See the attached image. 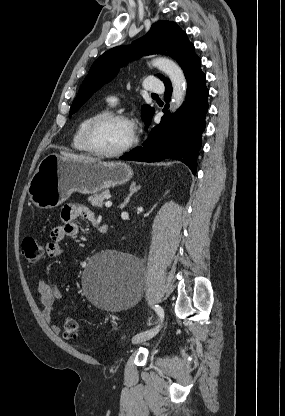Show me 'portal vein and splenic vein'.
<instances>
[{
  "mask_svg": "<svg viewBox=\"0 0 285 416\" xmlns=\"http://www.w3.org/2000/svg\"><path fill=\"white\" fill-rule=\"evenodd\" d=\"M105 206L106 208H110V206H112V202H105Z\"/></svg>",
  "mask_w": 285,
  "mask_h": 416,
  "instance_id": "obj_1",
  "label": "portal vein and splenic vein"
}]
</instances>
